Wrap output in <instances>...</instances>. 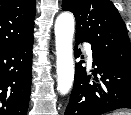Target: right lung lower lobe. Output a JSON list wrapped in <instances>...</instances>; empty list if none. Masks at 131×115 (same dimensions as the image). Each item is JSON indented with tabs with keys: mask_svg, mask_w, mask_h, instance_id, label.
Here are the masks:
<instances>
[{
	"mask_svg": "<svg viewBox=\"0 0 131 115\" xmlns=\"http://www.w3.org/2000/svg\"><path fill=\"white\" fill-rule=\"evenodd\" d=\"M33 38L0 50V115H26L31 91Z\"/></svg>",
	"mask_w": 131,
	"mask_h": 115,
	"instance_id": "obj_1",
	"label": "right lung lower lobe"
}]
</instances>
